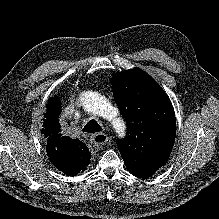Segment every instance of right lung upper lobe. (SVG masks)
I'll use <instances>...</instances> for the list:
<instances>
[{
	"label": "right lung upper lobe",
	"mask_w": 219,
	"mask_h": 219,
	"mask_svg": "<svg viewBox=\"0 0 219 219\" xmlns=\"http://www.w3.org/2000/svg\"><path fill=\"white\" fill-rule=\"evenodd\" d=\"M46 107L42 133L48 138L46 151L49 160L58 170L67 175L84 171L91 154L83 142L60 134L61 126L58 121L61 113L60 98L56 95L51 97Z\"/></svg>",
	"instance_id": "1"
}]
</instances>
